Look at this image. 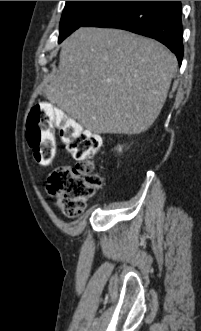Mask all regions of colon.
Wrapping results in <instances>:
<instances>
[{
  "label": "colon",
  "mask_w": 201,
  "mask_h": 331,
  "mask_svg": "<svg viewBox=\"0 0 201 331\" xmlns=\"http://www.w3.org/2000/svg\"><path fill=\"white\" fill-rule=\"evenodd\" d=\"M55 130L76 163L54 169L49 176L47 190L57 199L66 216L76 217L84 212L103 184V176L92 161L101 148V140L62 110L48 103H39L29 114L26 132L33 157L39 164H49L54 160Z\"/></svg>",
  "instance_id": "obj_1"
}]
</instances>
